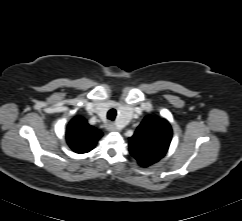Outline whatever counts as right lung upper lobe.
Returning a JSON list of instances; mask_svg holds the SVG:
<instances>
[{"instance_id":"1","label":"right lung upper lobe","mask_w":242,"mask_h":221,"mask_svg":"<svg viewBox=\"0 0 242 221\" xmlns=\"http://www.w3.org/2000/svg\"><path fill=\"white\" fill-rule=\"evenodd\" d=\"M102 132L80 117H74L68 124L66 140L70 148L76 153L91 151L97 141L102 137Z\"/></svg>"}]
</instances>
